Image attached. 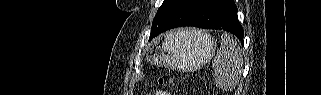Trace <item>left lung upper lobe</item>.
<instances>
[{"label": "left lung upper lobe", "mask_w": 321, "mask_h": 95, "mask_svg": "<svg viewBox=\"0 0 321 95\" xmlns=\"http://www.w3.org/2000/svg\"><path fill=\"white\" fill-rule=\"evenodd\" d=\"M173 1L174 0H164L163 1L162 5L158 9L157 14L155 15V17L153 19V25L151 28V32L154 31L155 28L157 27V25L160 23V21L162 20L163 16L167 12V10L169 9V7L173 3Z\"/></svg>", "instance_id": "obj_1"}]
</instances>
